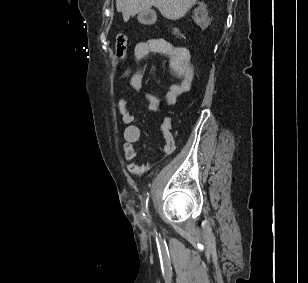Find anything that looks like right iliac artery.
<instances>
[{"label": "right iliac artery", "instance_id": "82829eb1", "mask_svg": "<svg viewBox=\"0 0 308 283\" xmlns=\"http://www.w3.org/2000/svg\"><path fill=\"white\" fill-rule=\"evenodd\" d=\"M146 213L148 214V216H149V211H148V199H147V201H146ZM150 217V216H149Z\"/></svg>", "mask_w": 308, "mask_h": 283}]
</instances>
